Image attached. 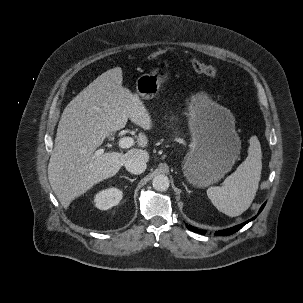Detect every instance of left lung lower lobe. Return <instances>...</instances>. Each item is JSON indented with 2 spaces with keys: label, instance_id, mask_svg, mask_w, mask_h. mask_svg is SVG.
Returning <instances> with one entry per match:
<instances>
[{
  "label": "left lung lower lobe",
  "instance_id": "0a47b994",
  "mask_svg": "<svg viewBox=\"0 0 303 303\" xmlns=\"http://www.w3.org/2000/svg\"><path fill=\"white\" fill-rule=\"evenodd\" d=\"M265 206V203L261 206L260 210H259V213L263 210ZM253 219H255V217H253L252 219L242 223V224H239L237 226H234L232 228H228V229H225V230H219V231H216L215 232V235L217 236H225V235H230V234H233L235 232H237L239 229H241L245 224H247L248 222L252 221ZM187 228L193 232H197L199 234H205L206 231L205 230H201V229H197L196 227H193L191 225H187Z\"/></svg>",
  "mask_w": 303,
  "mask_h": 303
}]
</instances>
